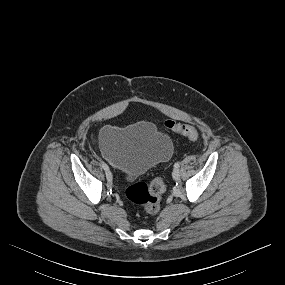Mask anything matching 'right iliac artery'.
I'll return each instance as SVG.
<instances>
[{
    "instance_id": "1",
    "label": "right iliac artery",
    "mask_w": 285,
    "mask_h": 285,
    "mask_svg": "<svg viewBox=\"0 0 285 285\" xmlns=\"http://www.w3.org/2000/svg\"><path fill=\"white\" fill-rule=\"evenodd\" d=\"M102 168L106 171V170H109V167L106 163H102Z\"/></svg>"
}]
</instances>
